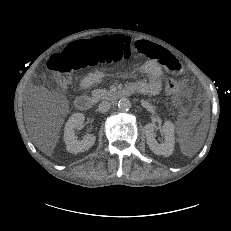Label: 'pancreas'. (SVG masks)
Here are the masks:
<instances>
[{
    "label": "pancreas",
    "mask_w": 231,
    "mask_h": 231,
    "mask_svg": "<svg viewBox=\"0 0 231 231\" xmlns=\"http://www.w3.org/2000/svg\"><path fill=\"white\" fill-rule=\"evenodd\" d=\"M92 94V97L98 101V100H102V99H106L108 98L109 96H111V92L108 91V90H105V89H96V90H93L91 92Z\"/></svg>",
    "instance_id": "1"
}]
</instances>
